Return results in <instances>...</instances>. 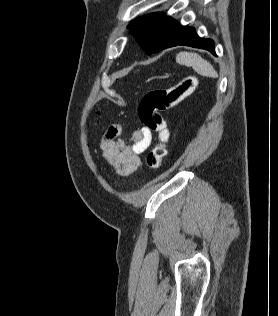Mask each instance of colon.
<instances>
[{"label":"colon","instance_id":"5ec220e1","mask_svg":"<svg viewBox=\"0 0 278 316\" xmlns=\"http://www.w3.org/2000/svg\"><path fill=\"white\" fill-rule=\"evenodd\" d=\"M197 84V77L188 75L171 87L147 92L141 99L138 108L139 118L150 131L157 135V143L147 156L149 168L159 169L167 154L169 132L162 112L189 96L196 89Z\"/></svg>","mask_w":278,"mask_h":316}]
</instances>
